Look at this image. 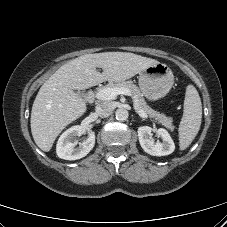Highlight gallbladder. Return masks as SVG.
Returning a JSON list of instances; mask_svg holds the SVG:
<instances>
[{
	"instance_id": "1",
	"label": "gallbladder",
	"mask_w": 227,
	"mask_h": 227,
	"mask_svg": "<svg viewBox=\"0 0 227 227\" xmlns=\"http://www.w3.org/2000/svg\"><path fill=\"white\" fill-rule=\"evenodd\" d=\"M77 94H78L79 96H83V93L80 92V91H78Z\"/></svg>"
}]
</instances>
